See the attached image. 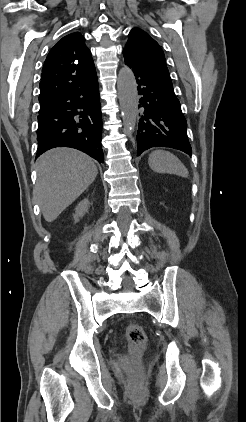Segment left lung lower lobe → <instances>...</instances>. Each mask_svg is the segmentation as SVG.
Wrapping results in <instances>:
<instances>
[{
    "label": "left lung lower lobe",
    "instance_id": "1",
    "mask_svg": "<svg viewBox=\"0 0 246 422\" xmlns=\"http://www.w3.org/2000/svg\"><path fill=\"white\" fill-rule=\"evenodd\" d=\"M137 84L141 116L137 134V155L152 147H170L188 155L192 149L187 136V122L173 87L124 57Z\"/></svg>",
    "mask_w": 246,
    "mask_h": 422
}]
</instances>
